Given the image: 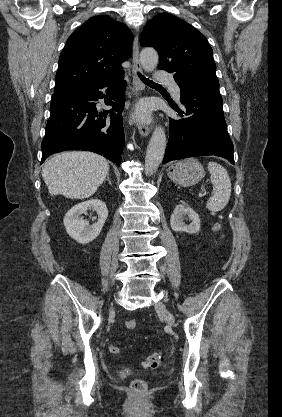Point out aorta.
<instances>
[{
    "mask_svg": "<svg viewBox=\"0 0 282 417\" xmlns=\"http://www.w3.org/2000/svg\"><path fill=\"white\" fill-rule=\"evenodd\" d=\"M158 52L155 48H142L140 62L146 72L154 70L158 64ZM166 148V134L162 126H157L149 140L145 156V174H154L163 160Z\"/></svg>",
    "mask_w": 282,
    "mask_h": 417,
    "instance_id": "762f6f07",
    "label": "aorta"
}]
</instances>
